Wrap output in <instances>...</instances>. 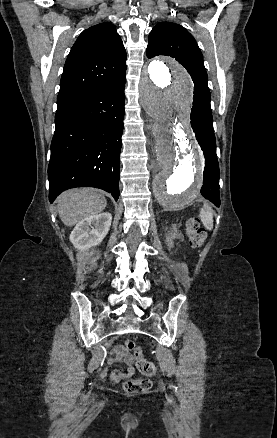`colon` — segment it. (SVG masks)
Masks as SVG:
<instances>
[{
  "label": "colon",
  "instance_id": "1",
  "mask_svg": "<svg viewBox=\"0 0 277 438\" xmlns=\"http://www.w3.org/2000/svg\"><path fill=\"white\" fill-rule=\"evenodd\" d=\"M187 230L192 246L198 247L204 242L206 233L197 220H189L187 222ZM125 347L133 352L137 367L142 374L148 376H154L156 374L157 368L155 364L152 361L147 360L143 355V351L136 348L131 340L125 341ZM121 386L125 392L138 397L140 392L145 391L146 389H155L156 381L145 380L144 378H133L129 380H123Z\"/></svg>",
  "mask_w": 277,
  "mask_h": 438
}]
</instances>
